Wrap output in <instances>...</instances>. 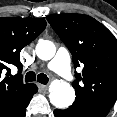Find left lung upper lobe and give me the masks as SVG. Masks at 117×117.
Listing matches in <instances>:
<instances>
[{"label":"left lung upper lobe","mask_w":117,"mask_h":117,"mask_svg":"<svg viewBox=\"0 0 117 117\" xmlns=\"http://www.w3.org/2000/svg\"><path fill=\"white\" fill-rule=\"evenodd\" d=\"M72 54L75 102L110 109L117 100V39L94 18L83 14L46 17Z\"/></svg>","instance_id":"1"}]
</instances>
